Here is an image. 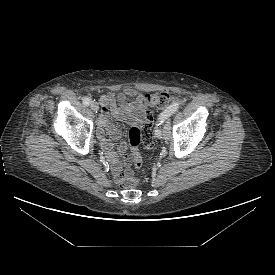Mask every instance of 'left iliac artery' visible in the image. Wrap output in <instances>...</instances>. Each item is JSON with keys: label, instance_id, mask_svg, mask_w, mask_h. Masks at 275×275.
<instances>
[{"label": "left iliac artery", "instance_id": "1", "mask_svg": "<svg viewBox=\"0 0 275 275\" xmlns=\"http://www.w3.org/2000/svg\"><path fill=\"white\" fill-rule=\"evenodd\" d=\"M180 107L179 102H175L171 104L169 107H167L158 117L157 122H156V128H155V135L158 138H162V131H161V126L164 123L168 117H170L172 114H174Z\"/></svg>", "mask_w": 275, "mask_h": 275}]
</instances>
